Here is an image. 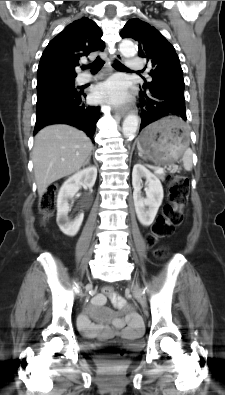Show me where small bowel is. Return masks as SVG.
<instances>
[{
	"label": "small bowel",
	"instance_id": "c3829d8e",
	"mask_svg": "<svg viewBox=\"0 0 225 395\" xmlns=\"http://www.w3.org/2000/svg\"><path fill=\"white\" fill-rule=\"evenodd\" d=\"M105 295L111 294H99L93 299L91 312H100L101 307L105 303ZM110 301L115 303L123 315L113 316L110 321V327H106L103 324H94L90 321L88 315H82L79 319V325L86 336L92 337L101 334L103 337H108L114 333L122 336H132L142 331L143 326L139 316L129 310L125 300L118 298V296H111ZM102 312L110 315L108 311Z\"/></svg>",
	"mask_w": 225,
	"mask_h": 395
}]
</instances>
